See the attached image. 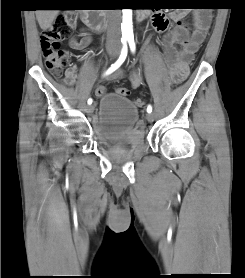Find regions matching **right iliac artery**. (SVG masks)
Returning <instances> with one entry per match:
<instances>
[{
  "instance_id": "right-iliac-artery-1",
  "label": "right iliac artery",
  "mask_w": 245,
  "mask_h": 278,
  "mask_svg": "<svg viewBox=\"0 0 245 278\" xmlns=\"http://www.w3.org/2000/svg\"><path fill=\"white\" fill-rule=\"evenodd\" d=\"M122 43H123V48L121 51V55L119 57V59L111 65V67L106 71L105 75H108L110 73H112L114 70H116L126 59L127 56V45H126V38L121 39ZM92 103V99H88V104L90 105Z\"/></svg>"
}]
</instances>
